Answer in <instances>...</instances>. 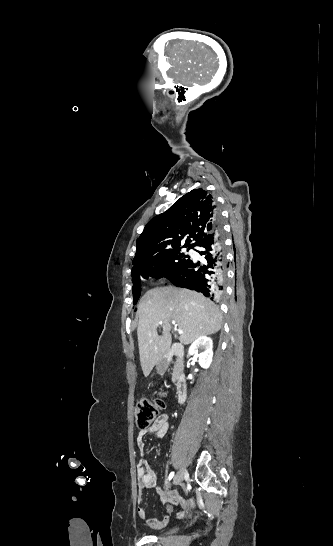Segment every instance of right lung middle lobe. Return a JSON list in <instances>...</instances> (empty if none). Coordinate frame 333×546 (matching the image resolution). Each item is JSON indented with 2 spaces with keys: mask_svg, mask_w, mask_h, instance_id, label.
Here are the masks:
<instances>
[{
  "mask_svg": "<svg viewBox=\"0 0 333 546\" xmlns=\"http://www.w3.org/2000/svg\"><path fill=\"white\" fill-rule=\"evenodd\" d=\"M192 247H188L190 249ZM190 256L181 252L180 249H175L164 253L158 260L155 267L142 270L132 275L133 282V298L134 304L138 301L140 297V278L147 279L148 277L161 278V277H171L181 266H183Z\"/></svg>",
  "mask_w": 333,
  "mask_h": 546,
  "instance_id": "right-lung-middle-lobe-1",
  "label": "right lung middle lobe"
}]
</instances>
